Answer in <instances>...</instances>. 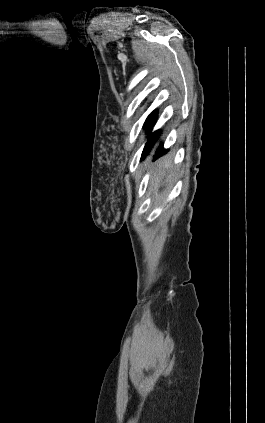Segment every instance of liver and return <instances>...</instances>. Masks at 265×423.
Here are the masks:
<instances>
[{
	"instance_id": "6515ba94",
	"label": "liver",
	"mask_w": 265,
	"mask_h": 423,
	"mask_svg": "<svg viewBox=\"0 0 265 423\" xmlns=\"http://www.w3.org/2000/svg\"><path fill=\"white\" fill-rule=\"evenodd\" d=\"M161 165L169 172L171 167V160L164 157L161 159Z\"/></svg>"
}]
</instances>
